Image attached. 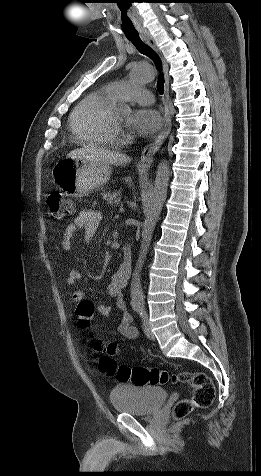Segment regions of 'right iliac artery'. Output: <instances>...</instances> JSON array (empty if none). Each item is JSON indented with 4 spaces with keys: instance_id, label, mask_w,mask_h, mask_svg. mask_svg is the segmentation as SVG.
<instances>
[{
    "instance_id": "82829eb1",
    "label": "right iliac artery",
    "mask_w": 261,
    "mask_h": 476,
    "mask_svg": "<svg viewBox=\"0 0 261 476\" xmlns=\"http://www.w3.org/2000/svg\"><path fill=\"white\" fill-rule=\"evenodd\" d=\"M133 308H134L135 311H138L141 308V306L140 305H135Z\"/></svg>"
}]
</instances>
